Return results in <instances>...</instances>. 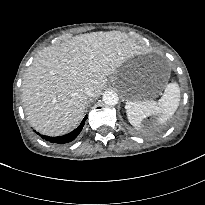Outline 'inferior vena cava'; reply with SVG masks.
<instances>
[{"label":"inferior vena cava","instance_id":"602c4592","mask_svg":"<svg viewBox=\"0 0 205 205\" xmlns=\"http://www.w3.org/2000/svg\"><path fill=\"white\" fill-rule=\"evenodd\" d=\"M84 93H85L87 96L92 97V96H93V89H92V87H85Z\"/></svg>","mask_w":205,"mask_h":205}]
</instances>
